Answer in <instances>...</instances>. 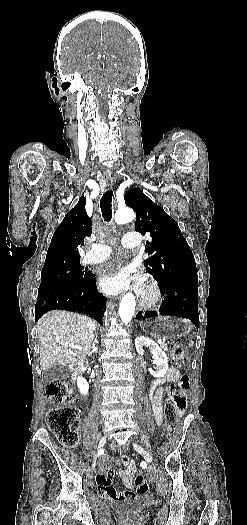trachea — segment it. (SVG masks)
Here are the masks:
<instances>
[{
    "instance_id": "3493384b",
    "label": "trachea",
    "mask_w": 247,
    "mask_h": 525,
    "mask_svg": "<svg viewBox=\"0 0 247 525\" xmlns=\"http://www.w3.org/2000/svg\"><path fill=\"white\" fill-rule=\"evenodd\" d=\"M112 198L113 190L109 188L102 195V198L100 200V209L102 212V216L106 222H110V220L112 219Z\"/></svg>"
}]
</instances>
